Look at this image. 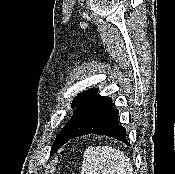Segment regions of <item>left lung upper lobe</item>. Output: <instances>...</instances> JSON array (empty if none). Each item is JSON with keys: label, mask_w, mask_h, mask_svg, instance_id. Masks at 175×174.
Here are the masks:
<instances>
[{"label": "left lung upper lobe", "mask_w": 175, "mask_h": 174, "mask_svg": "<svg viewBox=\"0 0 175 174\" xmlns=\"http://www.w3.org/2000/svg\"><path fill=\"white\" fill-rule=\"evenodd\" d=\"M92 89L84 91L82 93H80L73 101L72 103V107H76V105L78 104V102L88 93L90 92ZM67 126H65L60 133L58 134V136L55 139V142L51 148V153L56 152L59 148H61L63 146V135L65 132Z\"/></svg>", "instance_id": "obj_1"}]
</instances>
